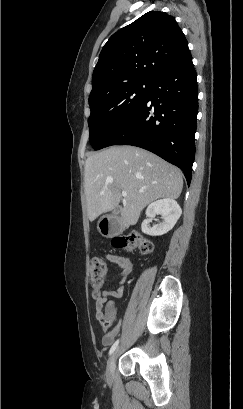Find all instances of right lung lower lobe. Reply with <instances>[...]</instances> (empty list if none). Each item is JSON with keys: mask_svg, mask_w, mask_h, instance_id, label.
<instances>
[{"mask_svg": "<svg viewBox=\"0 0 243 409\" xmlns=\"http://www.w3.org/2000/svg\"><path fill=\"white\" fill-rule=\"evenodd\" d=\"M197 75L189 49L152 83L144 103L109 141L149 150L178 166L190 184L198 113Z\"/></svg>", "mask_w": 243, "mask_h": 409, "instance_id": "obj_1", "label": "right lung lower lobe"}]
</instances>
